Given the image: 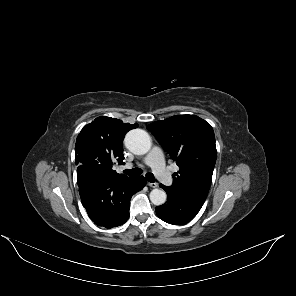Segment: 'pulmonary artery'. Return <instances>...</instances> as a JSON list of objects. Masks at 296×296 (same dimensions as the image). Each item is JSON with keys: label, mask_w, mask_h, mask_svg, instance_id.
Wrapping results in <instances>:
<instances>
[{"label": "pulmonary artery", "mask_w": 296, "mask_h": 296, "mask_svg": "<svg viewBox=\"0 0 296 296\" xmlns=\"http://www.w3.org/2000/svg\"><path fill=\"white\" fill-rule=\"evenodd\" d=\"M143 163L149 166L156 176L166 185H172L173 179L171 174L168 172L165 166L164 154L160 147L155 146L152 150L145 156ZM132 164H126L123 169H129Z\"/></svg>", "instance_id": "pulmonary-artery-1"}]
</instances>
